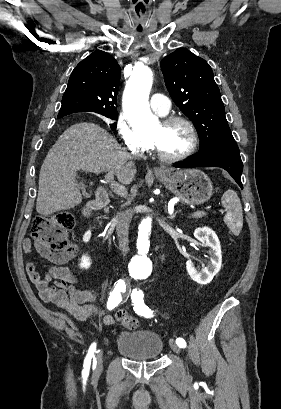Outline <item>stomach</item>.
I'll list each match as a JSON object with an SVG mask.
<instances>
[{
	"mask_svg": "<svg viewBox=\"0 0 281 409\" xmlns=\"http://www.w3.org/2000/svg\"><path fill=\"white\" fill-rule=\"evenodd\" d=\"M161 182L182 198L187 205H202L213 194V184L202 170L197 168H182L168 174H156Z\"/></svg>",
	"mask_w": 281,
	"mask_h": 409,
	"instance_id": "stomach-1",
	"label": "stomach"
}]
</instances>
